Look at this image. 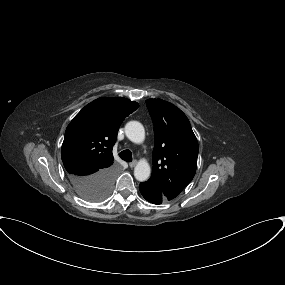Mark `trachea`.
I'll list each match as a JSON object with an SVG mask.
<instances>
[{
	"mask_svg": "<svg viewBox=\"0 0 285 285\" xmlns=\"http://www.w3.org/2000/svg\"><path fill=\"white\" fill-rule=\"evenodd\" d=\"M121 159L127 162H132V152L128 149L123 150L119 153Z\"/></svg>",
	"mask_w": 285,
	"mask_h": 285,
	"instance_id": "1",
	"label": "trachea"
}]
</instances>
